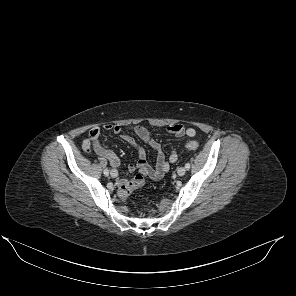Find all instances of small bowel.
Masks as SVG:
<instances>
[{
	"instance_id": "c3829d8e",
	"label": "small bowel",
	"mask_w": 296,
	"mask_h": 296,
	"mask_svg": "<svg viewBox=\"0 0 296 296\" xmlns=\"http://www.w3.org/2000/svg\"><path fill=\"white\" fill-rule=\"evenodd\" d=\"M103 130L119 134L126 142L131 144L136 149V152L138 154V161L128 166V170L130 172L138 170L140 174H142L144 177H149L153 180H158L162 178V176L169 170L170 165L178 160V153L175 148L171 150L169 157L166 158L161 144L152 136L150 131L144 126L135 125L124 128L119 124H106L103 127H94L89 131L87 138L83 140L82 148L87 153L94 151L97 155L107 159L112 167H118L120 165V159L114 151L105 148L99 142V137L102 134ZM127 130L139 137L155 151V167H152L147 162L146 151L137 144L135 139ZM167 130L169 133L173 134L176 137H193L196 134L194 128H186L185 126L179 123L169 126ZM126 182H128L126 179H119V187Z\"/></svg>"
}]
</instances>
